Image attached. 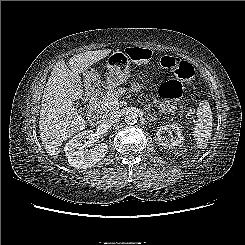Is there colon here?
I'll return each instance as SVG.
<instances>
[{
	"mask_svg": "<svg viewBox=\"0 0 245 245\" xmlns=\"http://www.w3.org/2000/svg\"><path fill=\"white\" fill-rule=\"evenodd\" d=\"M127 53L132 60L140 62L147 61L151 57V52L147 49L130 48ZM160 63L178 80L164 82L159 89V96L164 101L175 102V109L182 114L185 111V105L177 100L182 94V82L191 83L193 80L194 69L190 63L169 55L163 56Z\"/></svg>",
	"mask_w": 245,
	"mask_h": 245,
	"instance_id": "1",
	"label": "colon"
}]
</instances>
